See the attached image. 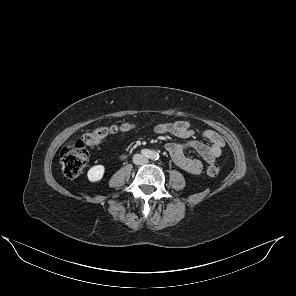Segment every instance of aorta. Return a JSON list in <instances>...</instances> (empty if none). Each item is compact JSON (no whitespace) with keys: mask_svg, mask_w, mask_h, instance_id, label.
<instances>
[{"mask_svg":"<svg viewBox=\"0 0 296 296\" xmlns=\"http://www.w3.org/2000/svg\"><path fill=\"white\" fill-rule=\"evenodd\" d=\"M158 158V154L156 152H153L151 155V159H157Z\"/></svg>","mask_w":296,"mask_h":296,"instance_id":"762f6f07","label":"aorta"}]
</instances>
